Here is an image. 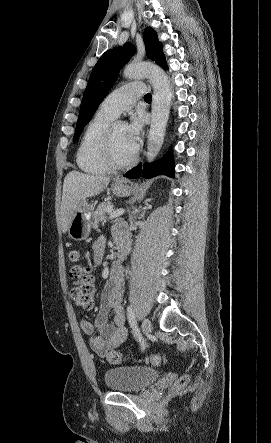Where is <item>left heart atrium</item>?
Segmentation results:
<instances>
[{
	"label": "left heart atrium",
	"instance_id": "left-heart-atrium-1",
	"mask_svg": "<svg viewBox=\"0 0 271 443\" xmlns=\"http://www.w3.org/2000/svg\"><path fill=\"white\" fill-rule=\"evenodd\" d=\"M143 117L141 114H135L131 117L126 127V139L130 148L136 152L142 143L143 139Z\"/></svg>",
	"mask_w": 271,
	"mask_h": 443
}]
</instances>
